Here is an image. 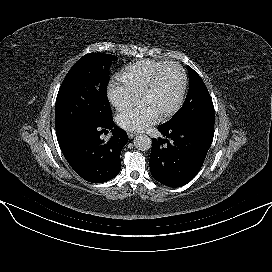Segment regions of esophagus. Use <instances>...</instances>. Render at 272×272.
<instances>
[{
	"label": "esophagus",
	"mask_w": 272,
	"mask_h": 272,
	"mask_svg": "<svg viewBox=\"0 0 272 272\" xmlns=\"http://www.w3.org/2000/svg\"><path fill=\"white\" fill-rule=\"evenodd\" d=\"M137 135V133L135 132H128V137L129 139H132L133 137H135Z\"/></svg>",
	"instance_id": "esophagus-1"
}]
</instances>
